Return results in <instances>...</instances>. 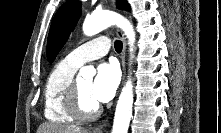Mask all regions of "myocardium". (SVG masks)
<instances>
[{
    "instance_id": "f54148a6",
    "label": "myocardium",
    "mask_w": 221,
    "mask_h": 133,
    "mask_svg": "<svg viewBox=\"0 0 221 133\" xmlns=\"http://www.w3.org/2000/svg\"><path fill=\"white\" fill-rule=\"evenodd\" d=\"M66 106L70 114L79 121L92 120L100 113V107L97 103L91 110L84 107L78 84L74 80L67 91Z\"/></svg>"
}]
</instances>
